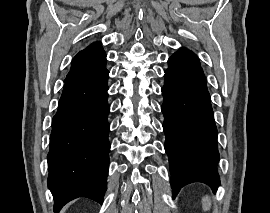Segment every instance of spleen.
<instances>
[{
  "instance_id": "spleen-1",
  "label": "spleen",
  "mask_w": 270,
  "mask_h": 213,
  "mask_svg": "<svg viewBox=\"0 0 270 213\" xmlns=\"http://www.w3.org/2000/svg\"><path fill=\"white\" fill-rule=\"evenodd\" d=\"M202 207L204 211H209L211 208V200L208 196L202 198Z\"/></svg>"
}]
</instances>
